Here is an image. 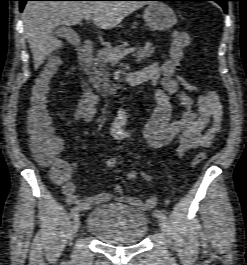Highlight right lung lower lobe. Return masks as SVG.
<instances>
[{"mask_svg": "<svg viewBox=\"0 0 247 265\" xmlns=\"http://www.w3.org/2000/svg\"><path fill=\"white\" fill-rule=\"evenodd\" d=\"M18 1H20V11H22L26 1H30V0H18ZM80 1H101V0H80Z\"/></svg>", "mask_w": 247, "mask_h": 265, "instance_id": "1", "label": "right lung lower lobe"}]
</instances>
